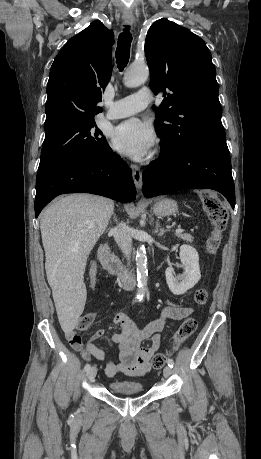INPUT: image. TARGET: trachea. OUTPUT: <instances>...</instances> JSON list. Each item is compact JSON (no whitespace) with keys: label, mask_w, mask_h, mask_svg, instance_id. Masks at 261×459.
I'll use <instances>...</instances> for the list:
<instances>
[{"label":"trachea","mask_w":261,"mask_h":459,"mask_svg":"<svg viewBox=\"0 0 261 459\" xmlns=\"http://www.w3.org/2000/svg\"><path fill=\"white\" fill-rule=\"evenodd\" d=\"M131 42L132 35L129 31V27L126 26L124 31L118 37L117 42L116 63L120 71H122L128 64Z\"/></svg>","instance_id":"obj_1"}]
</instances>
